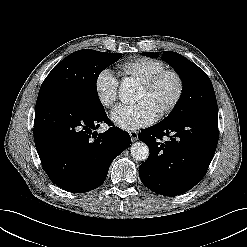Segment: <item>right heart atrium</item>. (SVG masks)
<instances>
[{
  "mask_svg": "<svg viewBox=\"0 0 247 247\" xmlns=\"http://www.w3.org/2000/svg\"><path fill=\"white\" fill-rule=\"evenodd\" d=\"M94 92L99 103L105 108L115 105L118 98V81L111 70L102 69L94 80Z\"/></svg>",
  "mask_w": 247,
  "mask_h": 247,
  "instance_id": "d8ad5b80",
  "label": "right heart atrium"
}]
</instances>
